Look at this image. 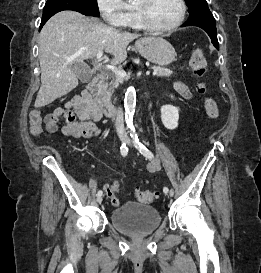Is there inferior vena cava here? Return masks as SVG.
I'll return each mask as SVG.
<instances>
[{
  "instance_id": "obj_1",
  "label": "inferior vena cava",
  "mask_w": 261,
  "mask_h": 273,
  "mask_svg": "<svg viewBox=\"0 0 261 273\" xmlns=\"http://www.w3.org/2000/svg\"><path fill=\"white\" fill-rule=\"evenodd\" d=\"M115 127H116V132L119 137L126 136V131L124 128V121H123V113H122L121 108L118 109L117 114H116Z\"/></svg>"
}]
</instances>
